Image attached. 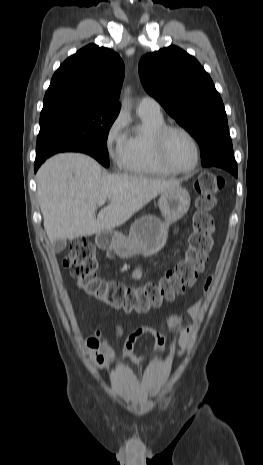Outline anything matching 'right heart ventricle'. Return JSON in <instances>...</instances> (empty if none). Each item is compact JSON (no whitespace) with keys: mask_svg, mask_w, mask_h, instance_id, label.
<instances>
[{"mask_svg":"<svg viewBox=\"0 0 263 465\" xmlns=\"http://www.w3.org/2000/svg\"><path fill=\"white\" fill-rule=\"evenodd\" d=\"M139 116L142 121L141 128L133 130L127 138L125 170L138 175H172L173 173L164 169L157 161L153 146V134L165 125L162 115L139 113Z\"/></svg>","mask_w":263,"mask_h":465,"instance_id":"e07e8e85","label":"right heart ventricle"}]
</instances>
